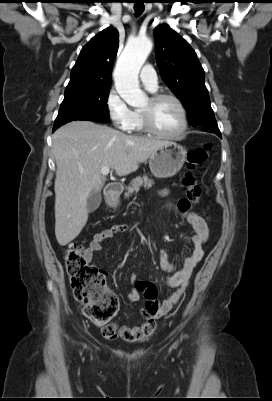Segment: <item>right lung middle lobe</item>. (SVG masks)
Returning <instances> with one entry per match:
<instances>
[{
  "label": "right lung middle lobe",
  "instance_id": "dd1d6c3e",
  "mask_svg": "<svg viewBox=\"0 0 272 401\" xmlns=\"http://www.w3.org/2000/svg\"><path fill=\"white\" fill-rule=\"evenodd\" d=\"M111 85L65 92L54 127L74 120L105 122L109 120L107 99Z\"/></svg>",
  "mask_w": 272,
  "mask_h": 401
}]
</instances>
